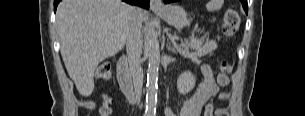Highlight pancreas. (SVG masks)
<instances>
[{"label": "pancreas", "instance_id": "obj_1", "mask_svg": "<svg viewBox=\"0 0 305 116\" xmlns=\"http://www.w3.org/2000/svg\"><path fill=\"white\" fill-rule=\"evenodd\" d=\"M178 39L177 36H173ZM204 37L191 38L189 42H185L181 45H176L177 51L185 58H198L208 54L210 51L207 48H203Z\"/></svg>", "mask_w": 305, "mask_h": 116}]
</instances>
